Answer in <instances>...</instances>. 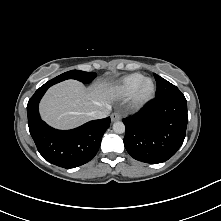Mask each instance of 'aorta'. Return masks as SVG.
Listing matches in <instances>:
<instances>
[{"instance_id": "aorta-1", "label": "aorta", "mask_w": 221, "mask_h": 221, "mask_svg": "<svg viewBox=\"0 0 221 221\" xmlns=\"http://www.w3.org/2000/svg\"><path fill=\"white\" fill-rule=\"evenodd\" d=\"M113 131L118 134H122L125 132V125L121 121H117L113 124Z\"/></svg>"}]
</instances>
